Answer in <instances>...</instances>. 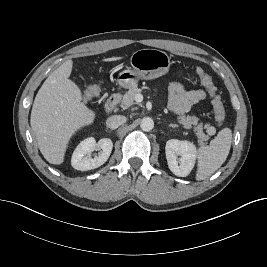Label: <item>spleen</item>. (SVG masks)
I'll return each mask as SVG.
<instances>
[{"instance_id": "obj_1", "label": "spleen", "mask_w": 267, "mask_h": 267, "mask_svg": "<svg viewBox=\"0 0 267 267\" xmlns=\"http://www.w3.org/2000/svg\"><path fill=\"white\" fill-rule=\"evenodd\" d=\"M231 143V129L223 128L209 145L200 146L197 153L196 180H205L222 166L229 154Z\"/></svg>"}]
</instances>
